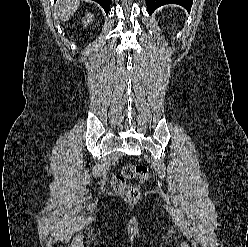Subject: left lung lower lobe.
Wrapping results in <instances>:
<instances>
[{
  "label": "left lung lower lobe",
  "instance_id": "0a47b994",
  "mask_svg": "<svg viewBox=\"0 0 248 247\" xmlns=\"http://www.w3.org/2000/svg\"><path fill=\"white\" fill-rule=\"evenodd\" d=\"M193 0H146L148 13L151 14L154 10L162 5L175 3L185 7L188 11L191 9Z\"/></svg>",
  "mask_w": 248,
  "mask_h": 247
}]
</instances>
